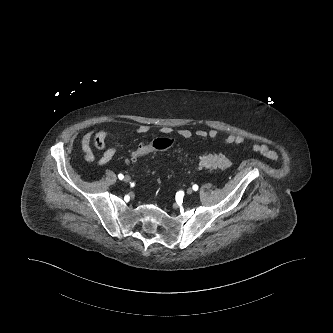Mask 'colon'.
<instances>
[{
	"mask_svg": "<svg viewBox=\"0 0 333 333\" xmlns=\"http://www.w3.org/2000/svg\"><path fill=\"white\" fill-rule=\"evenodd\" d=\"M93 144L99 150L105 148V141L99 136L93 138ZM172 144L173 140L168 137H158L151 142L142 143L130 153L127 161L130 163L136 162L154 151L168 149ZM198 166L201 169L224 170L231 166V160L224 154H207L200 158Z\"/></svg>",
	"mask_w": 333,
	"mask_h": 333,
	"instance_id": "1",
	"label": "colon"
}]
</instances>
